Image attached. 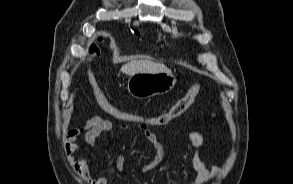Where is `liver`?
I'll use <instances>...</instances> for the list:
<instances>
[{"label":"liver","mask_w":293,"mask_h":184,"mask_svg":"<svg viewBox=\"0 0 293 184\" xmlns=\"http://www.w3.org/2000/svg\"><path fill=\"white\" fill-rule=\"evenodd\" d=\"M121 72L127 75H134L139 72L160 73L171 72L164 64L155 63L147 59L131 60L121 67Z\"/></svg>","instance_id":"liver-1"}]
</instances>
